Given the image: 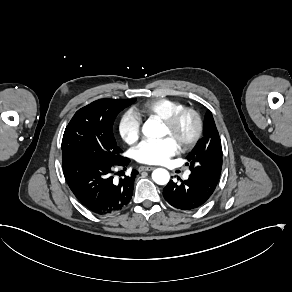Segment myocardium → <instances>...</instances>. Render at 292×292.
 Returning a JSON list of instances; mask_svg holds the SVG:
<instances>
[{
    "mask_svg": "<svg viewBox=\"0 0 292 292\" xmlns=\"http://www.w3.org/2000/svg\"><path fill=\"white\" fill-rule=\"evenodd\" d=\"M190 119L192 122L191 132L184 136L180 129L185 119ZM168 128V134L172 136L183 148H189L195 145L202 133V120L199 113L188 107H182L174 112L170 117L163 120Z\"/></svg>",
    "mask_w": 292,
    "mask_h": 292,
    "instance_id": "f54148a6",
    "label": "myocardium"
}]
</instances>
